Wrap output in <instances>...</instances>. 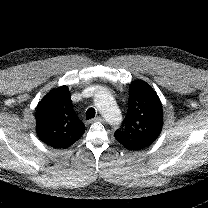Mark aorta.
Returning <instances> with one entry per match:
<instances>
[{
    "mask_svg": "<svg viewBox=\"0 0 208 208\" xmlns=\"http://www.w3.org/2000/svg\"><path fill=\"white\" fill-rule=\"evenodd\" d=\"M95 106L112 125H118L121 122V112L113 96L106 88H100L95 94Z\"/></svg>",
    "mask_w": 208,
    "mask_h": 208,
    "instance_id": "1",
    "label": "aorta"
}]
</instances>
